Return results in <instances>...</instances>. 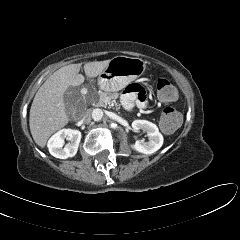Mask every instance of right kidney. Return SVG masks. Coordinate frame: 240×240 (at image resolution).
<instances>
[{"mask_svg":"<svg viewBox=\"0 0 240 240\" xmlns=\"http://www.w3.org/2000/svg\"><path fill=\"white\" fill-rule=\"evenodd\" d=\"M65 139L69 140L70 144L63 148ZM80 140L81 132L79 130L62 129L49 139L47 146L52 156L67 159L76 155Z\"/></svg>","mask_w":240,"mask_h":240,"instance_id":"ca27d5eb","label":"right kidney"}]
</instances>
